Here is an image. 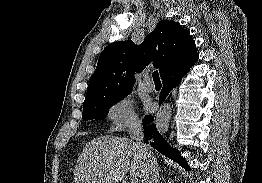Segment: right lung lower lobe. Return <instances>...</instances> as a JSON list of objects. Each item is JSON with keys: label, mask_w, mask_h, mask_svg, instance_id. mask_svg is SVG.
I'll use <instances>...</instances> for the list:
<instances>
[{"label": "right lung lower lobe", "mask_w": 262, "mask_h": 183, "mask_svg": "<svg viewBox=\"0 0 262 183\" xmlns=\"http://www.w3.org/2000/svg\"><path fill=\"white\" fill-rule=\"evenodd\" d=\"M190 70H184L179 73H175L173 75L165 77L163 80V88L160 92V98H159V103L161 104L169 92L176 86L181 81V78ZM154 117L152 116H145L143 119V128H144V136H145V141L147 143H150L152 147H154L157 151L165 155L166 157H169L173 161L177 162L179 165L184 167L185 169L189 170L190 167L188 166L186 160L182 158L179 154V152L171 147L164 139L163 137L158 133L156 129V125L153 124Z\"/></svg>", "instance_id": "98d812e1"}]
</instances>
